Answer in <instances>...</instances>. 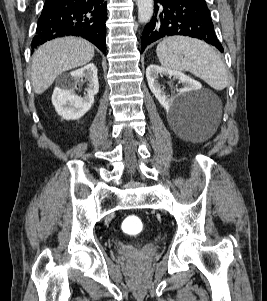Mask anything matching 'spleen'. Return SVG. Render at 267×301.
<instances>
[{
    "label": "spleen",
    "instance_id": "spleen-1",
    "mask_svg": "<svg viewBox=\"0 0 267 301\" xmlns=\"http://www.w3.org/2000/svg\"><path fill=\"white\" fill-rule=\"evenodd\" d=\"M156 53L163 67L189 71L215 90H223L228 84L227 70L220 55L204 41L172 36L157 45Z\"/></svg>",
    "mask_w": 267,
    "mask_h": 301
}]
</instances>
